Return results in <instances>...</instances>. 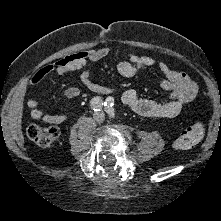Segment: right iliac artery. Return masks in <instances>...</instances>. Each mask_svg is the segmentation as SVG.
Returning a JSON list of instances; mask_svg holds the SVG:
<instances>
[{"instance_id":"82829eb1","label":"right iliac artery","mask_w":221,"mask_h":221,"mask_svg":"<svg viewBox=\"0 0 221 221\" xmlns=\"http://www.w3.org/2000/svg\"><path fill=\"white\" fill-rule=\"evenodd\" d=\"M103 105H105V103H103L102 99L98 96L92 98L90 101V106L94 111L102 110Z\"/></svg>"}]
</instances>
